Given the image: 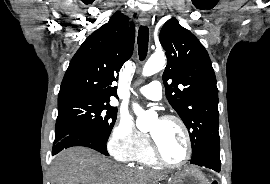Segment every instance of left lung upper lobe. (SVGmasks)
<instances>
[{
  "instance_id": "5c2ea615",
  "label": "left lung upper lobe",
  "mask_w": 270,
  "mask_h": 184,
  "mask_svg": "<svg viewBox=\"0 0 270 184\" xmlns=\"http://www.w3.org/2000/svg\"><path fill=\"white\" fill-rule=\"evenodd\" d=\"M159 40L167 56L166 97L189 130L192 159L206 148L219 149L218 89L206 49L175 18L164 24Z\"/></svg>"
}]
</instances>
